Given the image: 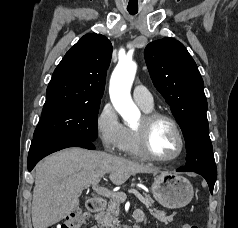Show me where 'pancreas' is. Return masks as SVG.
Wrapping results in <instances>:
<instances>
[{"instance_id":"1","label":"pancreas","mask_w":238,"mask_h":228,"mask_svg":"<svg viewBox=\"0 0 238 228\" xmlns=\"http://www.w3.org/2000/svg\"><path fill=\"white\" fill-rule=\"evenodd\" d=\"M145 199L152 204L154 203V200L149 195L145 194ZM123 202L124 201L120 199H112L108 203L105 212L98 219V223L101 228H119L120 221L118 220V216L120 213V204ZM149 212L155 219L160 222L168 224L173 221V217L167 216L164 211L149 209Z\"/></svg>"}]
</instances>
